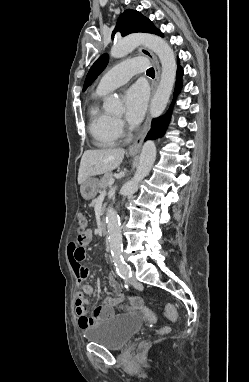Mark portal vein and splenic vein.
Instances as JSON below:
<instances>
[{"instance_id": "1", "label": "portal vein and splenic vein", "mask_w": 249, "mask_h": 382, "mask_svg": "<svg viewBox=\"0 0 249 382\" xmlns=\"http://www.w3.org/2000/svg\"><path fill=\"white\" fill-rule=\"evenodd\" d=\"M114 184V179H111L110 181H109V185L111 186V185H113Z\"/></svg>"}]
</instances>
